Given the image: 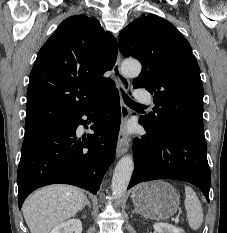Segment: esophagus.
<instances>
[{
    "label": "esophagus",
    "mask_w": 227,
    "mask_h": 233,
    "mask_svg": "<svg viewBox=\"0 0 227 233\" xmlns=\"http://www.w3.org/2000/svg\"><path fill=\"white\" fill-rule=\"evenodd\" d=\"M121 64V54L118 52L116 63L113 67V76L117 83L125 90L128 91L130 88V81L125 77L120 69ZM129 116V109L123 101H121V131L118 138L116 156L120 157L127 152L129 148V140L127 139L125 132V124Z\"/></svg>",
    "instance_id": "34e87169"
}]
</instances>
